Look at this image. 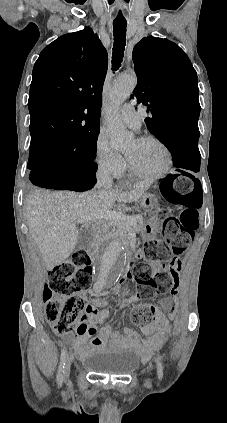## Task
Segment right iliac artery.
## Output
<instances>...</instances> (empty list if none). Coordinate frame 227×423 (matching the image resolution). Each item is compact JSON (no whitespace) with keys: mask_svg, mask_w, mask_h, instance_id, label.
Masks as SVG:
<instances>
[{"mask_svg":"<svg viewBox=\"0 0 227 423\" xmlns=\"http://www.w3.org/2000/svg\"><path fill=\"white\" fill-rule=\"evenodd\" d=\"M97 290L100 291L101 287H97ZM66 355H67L66 350H65V348H63L62 351H61L60 365H59L58 373H57V376H56L57 383H58L59 386H61L62 382H63V374H64V366H65Z\"/></svg>","mask_w":227,"mask_h":423,"instance_id":"obj_1","label":"right iliac artery"}]
</instances>
